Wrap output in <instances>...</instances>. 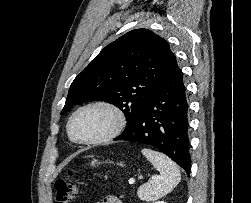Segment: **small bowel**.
<instances>
[{
	"label": "small bowel",
	"mask_w": 251,
	"mask_h": 203,
	"mask_svg": "<svg viewBox=\"0 0 251 203\" xmlns=\"http://www.w3.org/2000/svg\"><path fill=\"white\" fill-rule=\"evenodd\" d=\"M97 203H122V202L116 197L108 196L98 201Z\"/></svg>",
	"instance_id": "1"
}]
</instances>
